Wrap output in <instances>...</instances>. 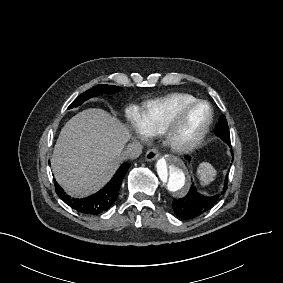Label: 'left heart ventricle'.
Here are the masks:
<instances>
[{
    "instance_id": "obj_1",
    "label": "left heart ventricle",
    "mask_w": 283,
    "mask_h": 283,
    "mask_svg": "<svg viewBox=\"0 0 283 283\" xmlns=\"http://www.w3.org/2000/svg\"><path fill=\"white\" fill-rule=\"evenodd\" d=\"M207 117L205 106L191 107L187 110L172 106L168 111V129L173 133V141L183 143L191 139Z\"/></svg>"
}]
</instances>
